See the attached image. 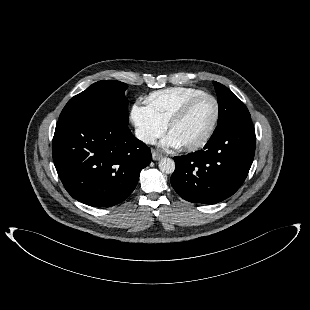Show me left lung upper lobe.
<instances>
[{
    "label": "left lung upper lobe",
    "mask_w": 310,
    "mask_h": 310,
    "mask_svg": "<svg viewBox=\"0 0 310 310\" xmlns=\"http://www.w3.org/2000/svg\"><path fill=\"white\" fill-rule=\"evenodd\" d=\"M218 97L219 116L217 127L212 136H217L225 130L250 119L247 107L227 87L214 81Z\"/></svg>",
    "instance_id": "left-lung-upper-lobe-1"
}]
</instances>
